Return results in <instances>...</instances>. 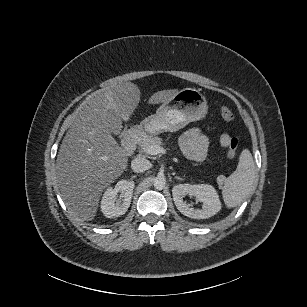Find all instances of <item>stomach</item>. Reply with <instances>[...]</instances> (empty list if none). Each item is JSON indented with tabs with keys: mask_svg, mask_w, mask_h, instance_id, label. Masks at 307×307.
Here are the masks:
<instances>
[{
	"mask_svg": "<svg viewBox=\"0 0 307 307\" xmlns=\"http://www.w3.org/2000/svg\"><path fill=\"white\" fill-rule=\"evenodd\" d=\"M208 112L206 98L194 88H184L145 118L140 127L155 136L163 132H176L190 122L198 121Z\"/></svg>",
	"mask_w": 307,
	"mask_h": 307,
	"instance_id": "1",
	"label": "stomach"
}]
</instances>
